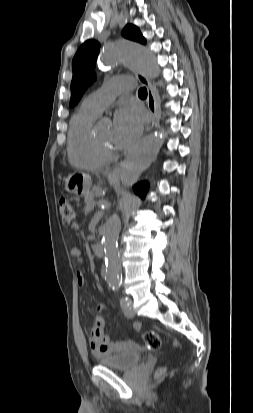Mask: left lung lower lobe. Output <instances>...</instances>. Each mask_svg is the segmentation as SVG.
Returning a JSON list of instances; mask_svg holds the SVG:
<instances>
[{
  "instance_id": "1",
  "label": "left lung lower lobe",
  "mask_w": 253,
  "mask_h": 413,
  "mask_svg": "<svg viewBox=\"0 0 253 413\" xmlns=\"http://www.w3.org/2000/svg\"><path fill=\"white\" fill-rule=\"evenodd\" d=\"M148 189V184L146 182H141L138 183L135 187H134V191L141 196L142 198L145 197V194L147 192Z\"/></svg>"
}]
</instances>
